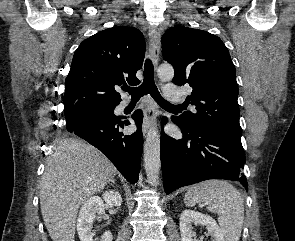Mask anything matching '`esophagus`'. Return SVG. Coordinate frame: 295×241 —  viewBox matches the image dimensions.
Returning <instances> with one entry per match:
<instances>
[{
    "label": "esophagus",
    "instance_id": "1",
    "mask_svg": "<svg viewBox=\"0 0 295 241\" xmlns=\"http://www.w3.org/2000/svg\"><path fill=\"white\" fill-rule=\"evenodd\" d=\"M149 44H150V56L155 67L159 62L160 53V32L155 26L149 27ZM157 108L153 102H148L145 106V113L142 125V131L144 136L148 130L155 124L157 117Z\"/></svg>",
    "mask_w": 295,
    "mask_h": 241
}]
</instances>
